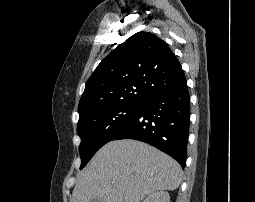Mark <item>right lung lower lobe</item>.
<instances>
[{"label": "right lung lower lobe", "mask_w": 255, "mask_h": 202, "mask_svg": "<svg viewBox=\"0 0 255 202\" xmlns=\"http://www.w3.org/2000/svg\"><path fill=\"white\" fill-rule=\"evenodd\" d=\"M189 121L190 96L185 82L143 102L112 140L135 139L146 142L173 157L184 169Z\"/></svg>", "instance_id": "1"}]
</instances>
